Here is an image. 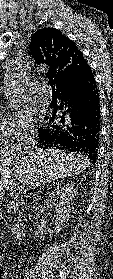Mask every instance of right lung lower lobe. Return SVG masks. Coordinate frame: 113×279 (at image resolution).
<instances>
[{"mask_svg": "<svg viewBox=\"0 0 113 279\" xmlns=\"http://www.w3.org/2000/svg\"><path fill=\"white\" fill-rule=\"evenodd\" d=\"M57 93L60 99L59 112L56 115L54 111L49 123L55 117L57 122L39 128L38 143L45 147L83 153L95 163L100 132V105L91 68L88 67L82 76L61 87Z\"/></svg>", "mask_w": 113, "mask_h": 279, "instance_id": "1", "label": "right lung lower lobe"}]
</instances>
